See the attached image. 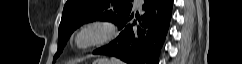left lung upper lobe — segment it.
Masks as SVG:
<instances>
[{"label":"left lung upper lobe","mask_w":242,"mask_h":64,"mask_svg":"<svg viewBox=\"0 0 242 64\" xmlns=\"http://www.w3.org/2000/svg\"><path fill=\"white\" fill-rule=\"evenodd\" d=\"M132 8V0H67L58 33V50L61 54L68 38L78 27L94 20L117 24Z\"/></svg>","instance_id":"left-lung-upper-lobe-1"}]
</instances>
